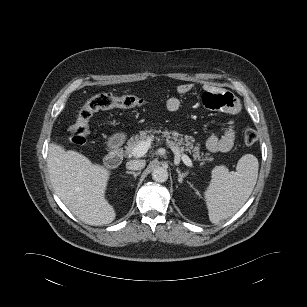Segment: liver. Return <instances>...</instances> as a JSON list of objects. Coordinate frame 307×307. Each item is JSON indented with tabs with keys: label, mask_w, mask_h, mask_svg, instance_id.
Listing matches in <instances>:
<instances>
[{
	"label": "liver",
	"mask_w": 307,
	"mask_h": 307,
	"mask_svg": "<svg viewBox=\"0 0 307 307\" xmlns=\"http://www.w3.org/2000/svg\"><path fill=\"white\" fill-rule=\"evenodd\" d=\"M47 166L56 195L82 222L100 226L115 219L116 212L105 198L107 168L55 143L49 145Z\"/></svg>",
	"instance_id": "1"
}]
</instances>
